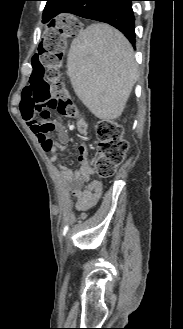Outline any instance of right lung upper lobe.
<instances>
[{
	"label": "right lung upper lobe",
	"instance_id": "right-lung-upper-lobe-1",
	"mask_svg": "<svg viewBox=\"0 0 183 329\" xmlns=\"http://www.w3.org/2000/svg\"><path fill=\"white\" fill-rule=\"evenodd\" d=\"M47 4L43 12V22L50 21L53 17H55V10L52 8L53 5L56 4V2L61 0H46Z\"/></svg>",
	"mask_w": 183,
	"mask_h": 329
}]
</instances>
